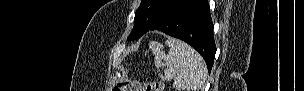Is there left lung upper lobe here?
Masks as SVG:
<instances>
[{
    "label": "left lung upper lobe",
    "mask_w": 304,
    "mask_h": 91,
    "mask_svg": "<svg viewBox=\"0 0 304 91\" xmlns=\"http://www.w3.org/2000/svg\"><path fill=\"white\" fill-rule=\"evenodd\" d=\"M171 2L172 0H141L128 40L137 39L147 32L159 20Z\"/></svg>",
    "instance_id": "5c2ea615"
}]
</instances>
